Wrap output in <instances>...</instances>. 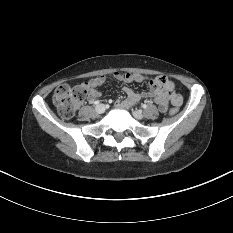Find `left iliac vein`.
Masks as SVG:
<instances>
[{
    "instance_id": "left-iliac-vein-1",
    "label": "left iliac vein",
    "mask_w": 233,
    "mask_h": 233,
    "mask_svg": "<svg viewBox=\"0 0 233 233\" xmlns=\"http://www.w3.org/2000/svg\"><path fill=\"white\" fill-rule=\"evenodd\" d=\"M133 116L136 118V119H143L144 118V115L142 114V112L140 110H134L133 111Z\"/></svg>"
}]
</instances>
